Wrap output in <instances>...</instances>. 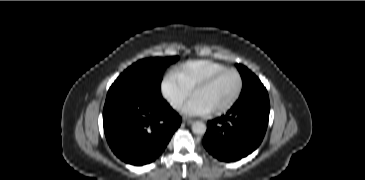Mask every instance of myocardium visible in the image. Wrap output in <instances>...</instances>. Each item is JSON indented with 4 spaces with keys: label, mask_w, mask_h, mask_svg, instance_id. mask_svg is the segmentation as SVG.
<instances>
[{
    "label": "myocardium",
    "mask_w": 365,
    "mask_h": 180,
    "mask_svg": "<svg viewBox=\"0 0 365 180\" xmlns=\"http://www.w3.org/2000/svg\"><path fill=\"white\" fill-rule=\"evenodd\" d=\"M229 72H233L238 76L239 79V85H238V89L235 93V95L233 96V98L226 103L225 105L215 108L213 110H210L208 113L212 114V115H221L223 113H226L227 111H229L230 109H232L235 104L238 102V100L241 97V94L243 92L244 89V78L243 75L241 74V72L236 69V68H226L218 73H216L215 75L211 76L210 78H208L207 80H205L204 82H202L201 84H199L192 92H191V97L194 98L197 93H199L200 91L204 90L205 88L209 87L211 84H213L215 81H217L219 78H221L223 75L229 73Z\"/></svg>",
    "instance_id": "obj_1"
}]
</instances>
